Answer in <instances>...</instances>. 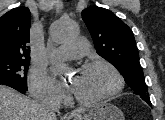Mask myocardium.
Instances as JSON below:
<instances>
[{
  "label": "myocardium",
  "mask_w": 165,
  "mask_h": 120,
  "mask_svg": "<svg viewBox=\"0 0 165 120\" xmlns=\"http://www.w3.org/2000/svg\"><path fill=\"white\" fill-rule=\"evenodd\" d=\"M94 67H104L108 69L114 76L115 84L113 88L110 91H108L106 94L94 99H83L73 92V99L81 105H96L105 102L111 99L112 97H114L115 95H117L123 88L124 85L123 77L120 71L117 69V67L113 65L111 62L102 59H96L84 63L82 69H90Z\"/></svg>",
  "instance_id": "f54148a6"
}]
</instances>
